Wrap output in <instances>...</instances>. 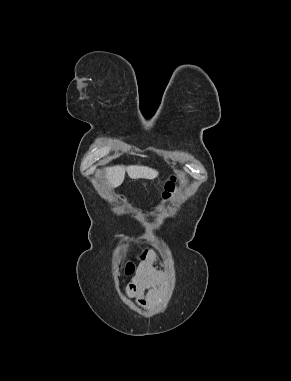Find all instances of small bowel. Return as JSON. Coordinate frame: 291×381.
Segmentation results:
<instances>
[{
	"label": "small bowel",
	"mask_w": 291,
	"mask_h": 381,
	"mask_svg": "<svg viewBox=\"0 0 291 381\" xmlns=\"http://www.w3.org/2000/svg\"><path fill=\"white\" fill-rule=\"evenodd\" d=\"M156 251L150 249L142 256L138 270L126 286V294L135 304L151 310L158 305L166 291L167 276L154 266Z\"/></svg>",
	"instance_id": "1"
}]
</instances>
